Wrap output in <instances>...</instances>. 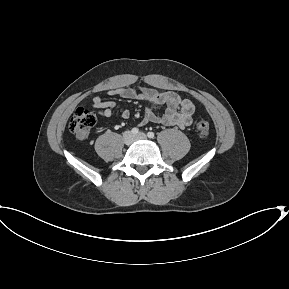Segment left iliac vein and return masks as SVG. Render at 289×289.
I'll list each match as a JSON object with an SVG mask.
<instances>
[{
  "label": "left iliac vein",
  "mask_w": 289,
  "mask_h": 289,
  "mask_svg": "<svg viewBox=\"0 0 289 289\" xmlns=\"http://www.w3.org/2000/svg\"><path fill=\"white\" fill-rule=\"evenodd\" d=\"M147 138L145 133L140 132L139 134H137L134 139L135 140H145Z\"/></svg>",
  "instance_id": "4c4485c4"
}]
</instances>
